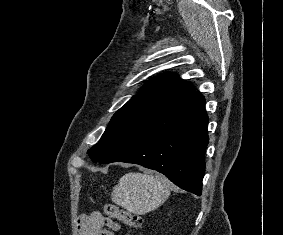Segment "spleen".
I'll return each instance as SVG.
<instances>
[{"label": "spleen", "mask_w": 283, "mask_h": 235, "mask_svg": "<svg viewBox=\"0 0 283 235\" xmlns=\"http://www.w3.org/2000/svg\"><path fill=\"white\" fill-rule=\"evenodd\" d=\"M170 195V182L163 176L132 172L113 188L112 201L127 211L144 215L161 206Z\"/></svg>", "instance_id": "spleen-1"}]
</instances>
